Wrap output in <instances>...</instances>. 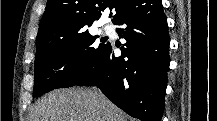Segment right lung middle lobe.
<instances>
[{
  "mask_svg": "<svg viewBox=\"0 0 217 121\" xmlns=\"http://www.w3.org/2000/svg\"><path fill=\"white\" fill-rule=\"evenodd\" d=\"M88 27L36 47L33 97L74 86L98 62L108 42L96 43Z\"/></svg>",
  "mask_w": 217,
  "mask_h": 121,
  "instance_id": "right-lung-middle-lobe-1",
  "label": "right lung middle lobe"
}]
</instances>
